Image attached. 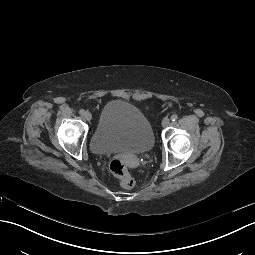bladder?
Instances as JSON below:
<instances>
[{
  "label": "bladder",
  "mask_w": 255,
  "mask_h": 255,
  "mask_svg": "<svg viewBox=\"0 0 255 255\" xmlns=\"http://www.w3.org/2000/svg\"><path fill=\"white\" fill-rule=\"evenodd\" d=\"M153 145V132L147 117L135 105L122 100L107 104L91 137L94 153L142 154Z\"/></svg>",
  "instance_id": "31cf9c89"
}]
</instances>
